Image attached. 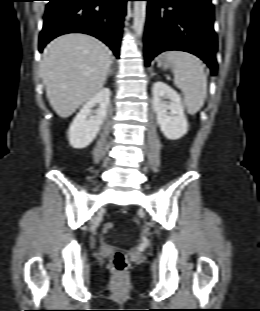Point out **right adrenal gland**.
<instances>
[{
  "instance_id": "2a0ac1e0",
  "label": "right adrenal gland",
  "mask_w": 260,
  "mask_h": 311,
  "mask_svg": "<svg viewBox=\"0 0 260 311\" xmlns=\"http://www.w3.org/2000/svg\"><path fill=\"white\" fill-rule=\"evenodd\" d=\"M112 65H113V62H112ZM112 73H113V69H112V66H111V68L108 71L107 77L110 76Z\"/></svg>"
}]
</instances>
